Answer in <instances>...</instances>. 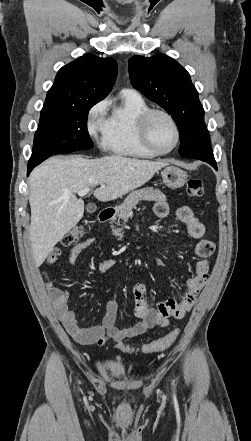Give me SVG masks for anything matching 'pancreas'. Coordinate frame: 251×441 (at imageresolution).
<instances>
[{
    "instance_id": "1",
    "label": "pancreas",
    "mask_w": 251,
    "mask_h": 441,
    "mask_svg": "<svg viewBox=\"0 0 251 441\" xmlns=\"http://www.w3.org/2000/svg\"><path fill=\"white\" fill-rule=\"evenodd\" d=\"M140 200L146 201H166V196L159 190L152 187H146L139 190L132 191L124 200V202L119 207L117 214L118 220H123L126 223L129 217L132 215V210L136 207ZM112 232L115 236L119 237L121 240L123 233L120 229L114 228L111 225Z\"/></svg>"
}]
</instances>
